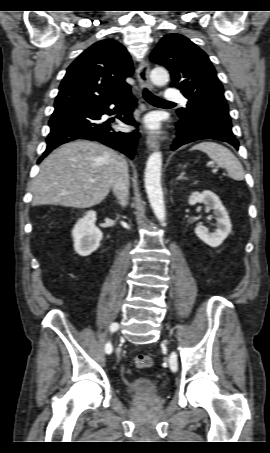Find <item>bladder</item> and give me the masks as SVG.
<instances>
[{
    "mask_svg": "<svg viewBox=\"0 0 270 453\" xmlns=\"http://www.w3.org/2000/svg\"><path fill=\"white\" fill-rule=\"evenodd\" d=\"M126 392L134 397L157 398L160 395V387L148 378L139 377L127 384Z\"/></svg>",
    "mask_w": 270,
    "mask_h": 453,
    "instance_id": "bladder-1",
    "label": "bladder"
}]
</instances>
